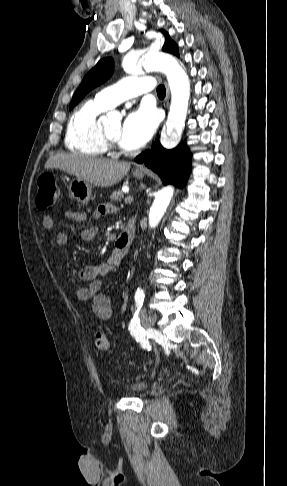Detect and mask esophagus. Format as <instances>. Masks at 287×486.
<instances>
[{
  "instance_id": "esophagus-1",
  "label": "esophagus",
  "mask_w": 287,
  "mask_h": 486,
  "mask_svg": "<svg viewBox=\"0 0 287 486\" xmlns=\"http://www.w3.org/2000/svg\"><path fill=\"white\" fill-rule=\"evenodd\" d=\"M165 84H166V88H167V96H166V101L168 102L169 100V88L167 86V81L165 80ZM138 171H144V168L143 167H138L137 168Z\"/></svg>"
}]
</instances>
